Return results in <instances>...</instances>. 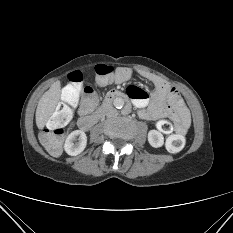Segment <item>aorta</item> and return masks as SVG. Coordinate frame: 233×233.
<instances>
[{"mask_svg": "<svg viewBox=\"0 0 233 233\" xmlns=\"http://www.w3.org/2000/svg\"><path fill=\"white\" fill-rule=\"evenodd\" d=\"M113 104L116 108L121 109V108H123L125 102H124L123 98L117 97L114 99Z\"/></svg>", "mask_w": 233, "mask_h": 233, "instance_id": "1", "label": "aorta"}]
</instances>
